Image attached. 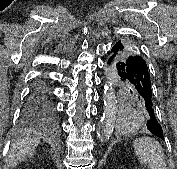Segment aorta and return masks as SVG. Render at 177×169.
Here are the masks:
<instances>
[{
    "instance_id": "1",
    "label": "aorta",
    "mask_w": 177,
    "mask_h": 169,
    "mask_svg": "<svg viewBox=\"0 0 177 169\" xmlns=\"http://www.w3.org/2000/svg\"><path fill=\"white\" fill-rule=\"evenodd\" d=\"M117 120V100L111 83L105 85L104 112L100 123L99 136L108 140L113 134Z\"/></svg>"
}]
</instances>
